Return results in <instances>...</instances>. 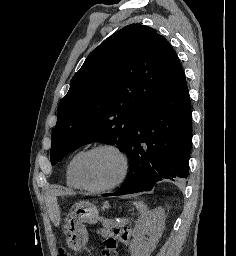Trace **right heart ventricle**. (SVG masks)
I'll return each instance as SVG.
<instances>
[{
  "mask_svg": "<svg viewBox=\"0 0 236 256\" xmlns=\"http://www.w3.org/2000/svg\"><path fill=\"white\" fill-rule=\"evenodd\" d=\"M84 153V150H78L72 154L65 165V182L68 187L79 190L82 189L76 176V166L80 156Z\"/></svg>",
  "mask_w": 236,
  "mask_h": 256,
  "instance_id": "1",
  "label": "right heart ventricle"
}]
</instances>
